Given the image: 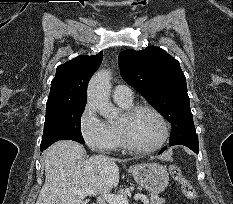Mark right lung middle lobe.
I'll use <instances>...</instances> for the list:
<instances>
[{"mask_svg": "<svg viewBox=\"0 0 233 204\" xmlns=\"http://www.w3.org/2000/svg\"><path fill=\"white\" fill-rule=\"evenodd\" d=\"M85 102L46 104V119L40 148L46 149L58 140L70 139L84 144L80 131Z\"/></svg>", "mask_w": 233, "mask_h": 204, "instance_id": "dd1d6c3e", "label": "right lung middle lobe"}]
</instances>
